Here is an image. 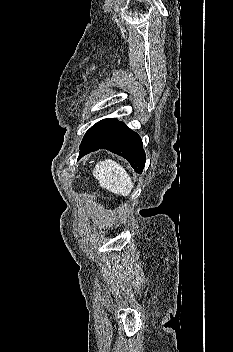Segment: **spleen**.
<instances>
[{"label":"spleen","mask_w":233,"mask_h":352,"mask_svg":"<svg viewBox=\"0 0 233 352\" xmlns=\"http://www.w3.org/2000/svg\"><path fill=\"white\" fill-rule=\"evenodd\" d=\"M101 187L122 196H128L134 187L127 171L111 159L100 161L93 170Z\"/></svg>","instance_id":"spleen-1"}]
</instances>
